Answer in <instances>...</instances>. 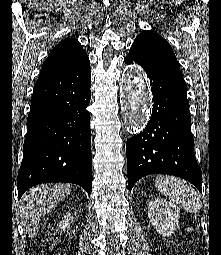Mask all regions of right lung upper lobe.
Segmentation results:
<instances>
[{"mask_svg":"<svg viewBox=\"0 0 221 255\" xmlns=\"http://www.w3.org/2000/svg\"><path fill=\"white\" fill-rule=\"evenodd\" d=\"M81 44L75 38H67L58 43L46 59L38 79L64 71L86 58Z\"/></svg>","mask_w":221,"mask_h":255,"instance_id":"right-lung-upper-lobe-1","label":"right lung upper lobe"}]
</instances>
